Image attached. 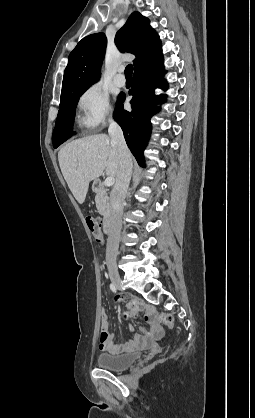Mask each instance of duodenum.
Segmentation results:
<instances>
[{
    "mask_svg": "<svg viewBox=\"0 0 255 418\" xmlns=\"http://www.w3.org/2000/svg\"><path fill=\"white\" fill-rule=\"evenodd\" d=\"M94 192H101L103 187L100 181H94L92 186ZM114 223V214L110 211L103 220L102 229L105 234H109L112 231Z\"/></svg>",
    "mask_w": 255,
    "mask_h": 418,
    "instance_id": "410a0bca",
    "label": "duodenum"
}]
</instances>
